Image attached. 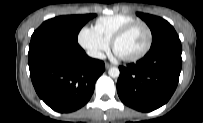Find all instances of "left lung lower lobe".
<instances>
[{
	"label": "left lung lower lobe",
	"mask_w": 203,
	"mask_h": 123,
	"mask_svg": "<svg viewBox=\"0 0 203 123\" xmlns=\"http://www.w3.org/2000/svg\"><path fill=\"white\" fill-rule=\"evenodd\" d=\"M179 39L151 48L136 63L119 67L117 92L127 106L142 112L164 105L174 93L182 67Z\"/></svg>",
	"instance_id": "0a47b994"
}]
</instances>
